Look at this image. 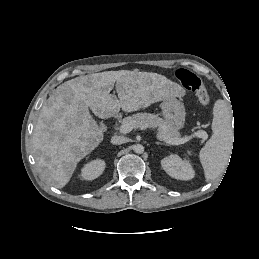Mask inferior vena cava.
<instances>
[{
  "mask_svg": "<svg viewBox=\"0 0 259 259\" xmlns=\"http://www.w3.org/2000/svg\"><path fill=\"white\" fill-rule=\"evenodd\" d=\"M126 142H127V138H125L124 136H113L111 138V143L113 145H120Z\"/></svg>",
  "mask_w": 259,
  "mask_h": 259,
  "instance_id": "602c4592",
  "label": "inferior vena cava"
}]
</instances>
